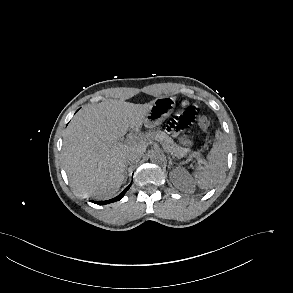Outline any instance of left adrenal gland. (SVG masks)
I'll return each instance as SVG.
<instances>
[{"instance_id": "obj_1", "label": "left adrenal gland", "mask_w": 293, "mask_h": 293, "mask_svg": "<svg viewBox=\"0 0 293 293\" xmlns=\"http://www.w3.org/2000/svg\"><path fill=\"white\" fill-rule=\"evenodd\" d=\"M168 159H169L168 168L170 169L171 168V165H173L174 162L172 161V159L170 157H168Z\"/></svg>"}]
</instances>
